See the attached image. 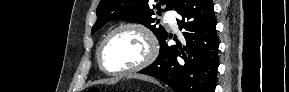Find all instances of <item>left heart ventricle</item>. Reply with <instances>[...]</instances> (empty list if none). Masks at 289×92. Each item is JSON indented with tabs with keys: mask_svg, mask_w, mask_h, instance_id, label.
I'll return each mask as SVG.
<instances>
[{
	"mask_svg": "<svg viewBox=\"0 0 289 92\" xmlns=\"http://www.w3.org/2000/svg\"><path fill=\"white\" fill-rule=\"evenodd\" d=\"M147 51V42L140 32L133 29L121 30L106 44L103 64L111 71L127 69L140 63Z\"/></svg>",
	"mask_w": 289,
	"mask_h": 92,
	"instance_id": "obj_1",
	"label": "left heart ventricle"
}]
</instances>
